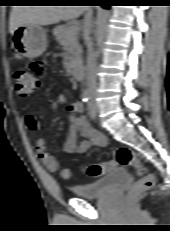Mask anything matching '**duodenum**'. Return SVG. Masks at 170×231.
I'll return each instance as SVG.
<instances>
[{"label":"duodenum","mask_w":170,"mask_h":231,"mask_svg":"<svg viewBox=\"0 0 170 231\" xmlns=\"http://www.w3.org/2000/svg\"><path fill=\"white\" fill-rule=\"evenodd\" d=\"M86 71V67L82 64L78 65L75 69H74V74L76 76H81L84 75Z\"/></svg>","instance_id":"obj_1"}]
</instances>
